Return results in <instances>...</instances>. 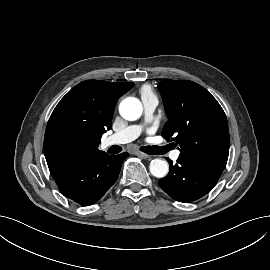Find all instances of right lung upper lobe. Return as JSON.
Here are the masks:
<instances>
[{"instance_id": "cb5924a9", "label": "right lung upper lobe", "mask_w": 270, "mask_h": 270, "mask_svg": "<svg viewBox=\"0 0 270 270\" xmlns=\"http://www.w3.org/2000/svg\"><path fill=\"white\" fill-rule=\"evenodd\" d=\"M131 82L86 80L73 87L52 112L44 136L50 171L103 153L101 137L111 129L114 107Z\"/></svg>"}]
</instances>
